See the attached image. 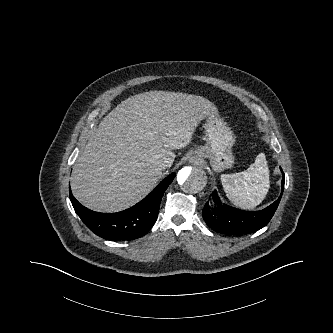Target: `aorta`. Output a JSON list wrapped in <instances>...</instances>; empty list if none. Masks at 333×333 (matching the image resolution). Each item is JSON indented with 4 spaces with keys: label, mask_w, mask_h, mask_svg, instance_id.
<instances>
[{
    "label": "aorta",
    "mask_w": 333,
    "mask_h": 333,
    "mask_svg": "<svg viewBox=\"0 0 333 333\" xmlns=\"http://www.w3.org/2000/svg\"><path fill=\"white\" fill-rule=\"evenodd\" d=\"M176 182L184 192L195 194L205 189L207 177L200 168L184 167L178 172Z\"/></svg>",
    "instance_id": "1"
}]
</instances>
